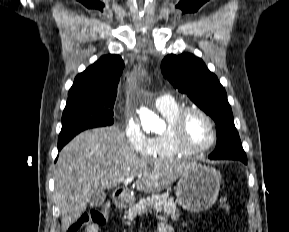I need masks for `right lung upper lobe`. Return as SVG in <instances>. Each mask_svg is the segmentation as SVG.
<instances>
[{"mask_svg": "<svg viewBox=\"0 0 289 232\" xmlns=\"http://www.w3.org/2000/svg\"><path fill=\"white\" fill-rule=\"evenodd\" d=\"M123 68L124 62L119 55L102 56L76 76L68 92V100L80 97H116Z\"/></svg>", "mask_w": 289, "mask_h": 232, "instance_id": "right-lung-upper-lobe-1", "label": "right lung upper lobe"}]
</instances>
